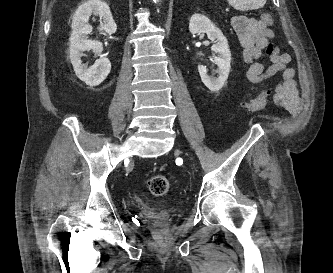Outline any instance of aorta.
<instances>
[{"label": "aorta", "mask_w": 333, "mask_h": 273, "mask_svg": "<svg viewBox=\"0 0 333 273\" xmlns=\"http://www.w3.org/2000/svg\"><path fill=\"white\" fill-rule=\"evenodd\" d=\"M155 3L158 2L159 0H153Z\"/></svg>", "instance_id": "762f6f07"}]
</instances>
